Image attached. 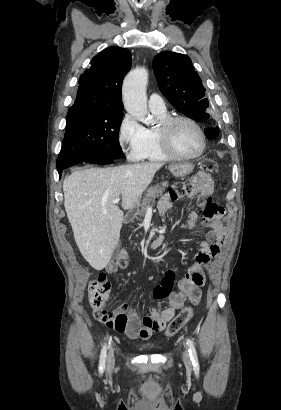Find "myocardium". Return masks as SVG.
<instances>
[{
	"label": "myocardium",
	"mask_w": 281,
	"mask_h": 410,
	"mask_svg": "<svg viewBox=\"0 0 281 410\" xmlns=\"http://www.w3.org/2000/svg\"><path fill=\"white\" fill-rule=\"evenodd\" d=\"M178 122H187L189 124H191L192 126H194L197 131L199 132L200 136H201V140H202V145L200 150L193 155H182L180 153H178L170 140V132L172 127L178 123ZM157 137L159 140V143L162 147V149L164 150V152L171 158V159H175V160H193L196 159L198 157H200L206 150L207 147V138H206V134L203 130V128L201 127V125L194 120L191 117L188 116H184V115H175V116H169L167 118H165L164 120H162L158 127H157Z\"/></svg>",
	"instance_id": "myocardium-1"
}]
</instances>
